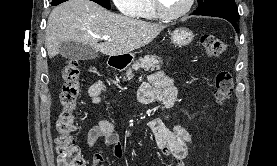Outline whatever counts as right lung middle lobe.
Segmentation results:
<instances>
[{
	"label": "right lung middle lobe",
	"mask_w": 277,
	"mask_h": 166,
	"mask_svg": "<svg viewBox=\"0 0 277 166\" xmlns=\"http://www.w3.org/2000/svg\"><path fill=\"white\" fill-rule=\"evenodd\" d=\"M65 1H67V0H53L52 4H54V3H62V2H65ZM92 1L98 3L99 5L107 8V9H110V7H111L110 6V0H92Z\"/></svg>",
	"instance_id": "obj_1"
}]
</instances>
